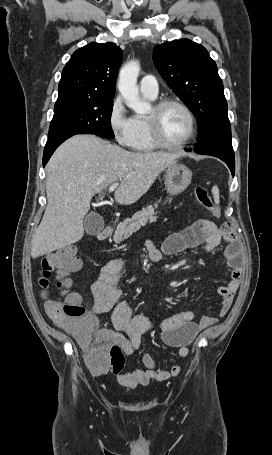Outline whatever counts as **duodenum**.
<instances>
[{"label": "duodenum", "instance_id": "obj_1", "mask_svg": "<svg viewBox=\"0 0 272 455\" xmlns=\"http://www.w3.org/2000/svg\"><path fill=\"white\" fill-rule=\"evenodd\" d=\"M112 230H113V228L111 225L105 226L97 233V238L99 240H104V239L108 238L111 235Z\"/></svg>", "mask_w": 272, "mask_h": 455}]
</instances>
